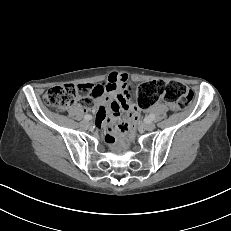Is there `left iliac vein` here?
Returning a JSON list of instances; mask_svg holds the SVG:
<instances>
[{
	"label": "left iliac vein",
	"instance_id": "1",
	"mask_svg": "<svg viewBox=\"0 0 231 231\" xmlns=\"http://www.w3.org/2000/svg\"><path fill=\"white\" fill-rule=\"evenodd\" d=\"M144 128L148 131H153L156 128V126L153 122H148L144 124Z\"/></svg>",
	"mask_w": 231,
	"mask_h": 231
}]
</instances>
